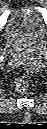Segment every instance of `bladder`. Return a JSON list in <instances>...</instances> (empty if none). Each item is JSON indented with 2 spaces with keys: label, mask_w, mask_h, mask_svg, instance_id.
I'll return each instance as SVG.
<instances>
[{
  "label": "bladder",
  "mask_w": 47,
  "mask_h": 129,
  "mask_svg": "<svg viewBox=\"0 0 47 129\" xmlns=\"http://www.w3.org/2000/svg\"><path fill=\"white\" fill-rule=\"evenodd\" d=\"M45 31L42 17L36 12L17 11L5 25V37L9 41L40 39Z\"/></svg>",
  "instance_id": "obj_1"
}]
</instances>
